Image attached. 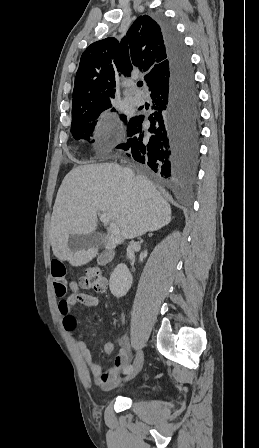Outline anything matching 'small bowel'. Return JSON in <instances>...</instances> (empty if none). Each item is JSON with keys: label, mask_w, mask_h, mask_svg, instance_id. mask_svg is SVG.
I'll use <instances>...</instances> for the list:
<instances>
[{"label": "small bowel", "mask_w": 259, "mask_h": 448, "mask_svg": "<svg viewBox=\"0 0 259 448\" xmlns=\"http://www.w3.org/2000/svg\"><path fill=\"white\" fill-rule=\"evenodd\" d=\"M51 276L55 294L57 297H63L67 291V285L70 289V294L62 299L58 305V311L62 318L63 327L70 332L76 330L77 322L72 314V310L78 305L82 304L87 307H96L99 304L97 297L89 295L80 291L79 285L76 281L66 280V267L64 263L58 258H53L50 264ZM77 349L82 358L87 364L88 371L85 376L87 382L91 378L97 387L104 391H109L117 386L121 379V371L124 370L130 361V346L126 337H121L119 340V351L115 358L114 365L110 368L99 365L92 357V354L85 341H77ZM114 351V345L107 342L104 345V352L111 355Z\"/></svg>", "instance_id": "1"}]
</instances>
